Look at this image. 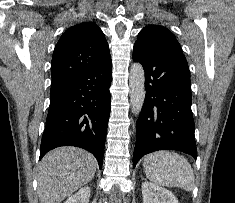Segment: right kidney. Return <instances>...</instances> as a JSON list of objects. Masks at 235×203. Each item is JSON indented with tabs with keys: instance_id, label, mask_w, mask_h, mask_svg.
<instances>
[{
	"instance_id": "right-kidney-1",
	"label": "right kidney",
	"mask_w": 235,
	"mask_h": 203,
	"mask_svg": "<svg viewBox=\"0 0 235 203\" xmlns=\"http://www.w3.org/2000/svg\"><path fill=\"white\" fill-rule=\"evenodd\" d=\"M91 188H81L76 194L71 195L64 203H89Z\"/></svg>"
}]
</instances>
